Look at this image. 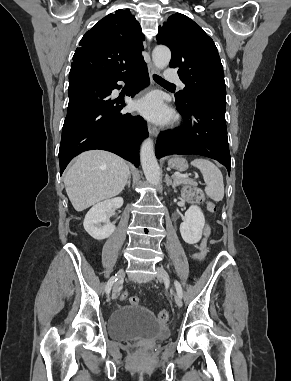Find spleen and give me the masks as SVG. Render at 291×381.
<instances>
[{"label":"spleen","instance_id":"3e777b00","mask_svg":"<svg viewBox=\"0 0 291 381\" xmlns=\"http://www.w3.org/2000/svg\"><path fill=\"white\" fill-rule=\"evenodd\" d=\"M191 164L201 171L206 183L205 192L207 196L216 202L221 201L224 197V183L219 168L204 158L194 159Z\"/></svg>","mask_w":291,"mask_h":381}]
</instances>
